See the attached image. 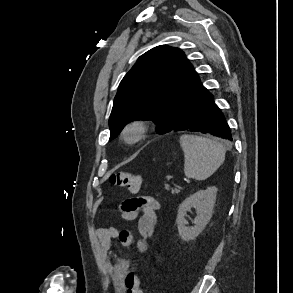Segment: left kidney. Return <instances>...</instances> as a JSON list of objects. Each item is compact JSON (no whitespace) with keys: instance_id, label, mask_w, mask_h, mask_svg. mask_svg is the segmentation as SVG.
<instances>
[{"instance_id":"obj_1","label":"left kidney","mask_w":293,"mask_h":293,"mask_svg":"<svg viewBox=\"0 0 293 293\" xmlns=\"http://www.w3.org/2000/svg\"><path fill=\"white\" fill-rule=\"evenodd\" d=\"M218 188L208 187L206 190H200L186 198L178 208L176 218L178 234L184 241L194 240L209 223L213 208L216 202ZM194 208L197 216L194 219V226H187L185 216L187 212Z\"/></svg>"}]
</instances>
